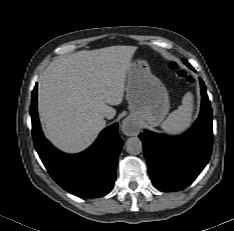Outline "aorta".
Masks as SVG:
<instances>
[{"mask_svg":"<svg viewBox=\"0 0 234 231\" xmlns=\"http://www.w3.org/2000/svg\"><path fill=\"white\" fill-rule=\"evenodd\" d=\"M126 151L132 155H138L143 150L142 141L138 137H130L125 142Z\"/></svg>","mask_w":234,"mask_h":231,"instance_id":"1","label":"aorta"}]
</instances>
